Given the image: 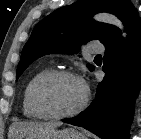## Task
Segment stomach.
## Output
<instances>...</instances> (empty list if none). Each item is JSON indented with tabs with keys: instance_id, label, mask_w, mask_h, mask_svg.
I'll return each mask as SVG.
<instances>
[{
	"instance_id": "stomach-1",
	"label": "stomach",
	"mask_w": 141,
	"mask_h": 139,
	"mask_svg": "<svg viewBox=\"0 0 141 139\" xmlns=\"http://www.w3.org/2000/svg\"><path fill=\"white\" fill-rule=\"evenodd\" d=\"M13 139H88V136L86 133L72 128L64 130L41 129L15 136Z\"/></svg>"
}]
</instances>
